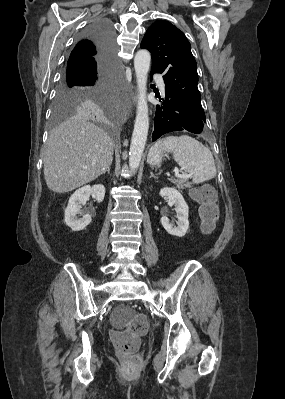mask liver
<instances>
[{
	"label": "liver",
	"mask_w": 285,
	"mask_h": 399,
	"mask_svg": "<svg viewBox=\"0 0 285 399\" xmlns=\"http://www.w3.org/2000/svg\"><path fill=\"white\" fill-rule=\"evenodd\" d=\"M113 141L78 113L53 129L43 158L47 187L66 193L98 178L111 165Z\"/></svg>",
	"instance_id": "liver-1"
}]
</instances>
